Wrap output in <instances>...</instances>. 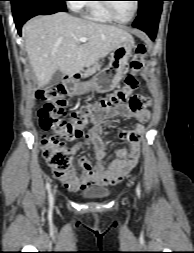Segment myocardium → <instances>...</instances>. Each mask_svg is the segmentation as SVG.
<instances>
[{"label": "myocardium", "mask_w": 194, "mask_h": 253, "mask_svg": "<svg viewBox=\"0 0 194 253\" xmlns=\"http://www.w3.org/2000/svg\"><path fill=\"white\" fill-rule=\"evenodd\" d=\"M106 2L102 3L103 4V7L104 9L106 10V12L109 14V16L116 22L118 23H128L130 21H132L134 19V17L136 16L137 12H138V8H139V3L137 0H134V10H133V13L132 15L128 18V19H120L114 12L112 6H111V3H109L108 1L109 0H105Z\"/></svg>", "instance_id": "1"}]
</instances>
